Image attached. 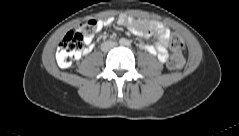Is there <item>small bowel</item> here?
<instances>
[{
  "instance_id": "obj_1",
  "label": "small bowel",
  "mask_w": 239,
  "mask_h": 136,
  "mask_svg": "<svg viewBox=\"0 0 239 136\" xmlns=\"http://www.w3.org/2000/svg\"><path fill=\"white\" fill-rule=\"evenodd\" d=\"M98 29L101 30L111 24V20L99 21ZM118 24L127 27L130 33L139 37H158L159 43L156 46L143 45L142 47L150 54L157 56L159 61L166 62L168 59L170 30L161 23L136 20L126 15H121ZM84 43L87 48L84 54L93 48L92 37H85Z\"/></svg>"
}]
</instances>
